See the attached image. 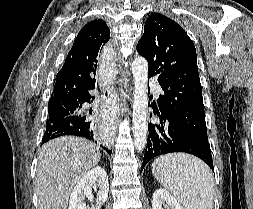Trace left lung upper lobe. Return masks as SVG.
Listing matches in <instances>:
<instances>
[{
  "label": "left lung upper lobe",
  "instance_id": "1",
  "mask_svg": "<svg viewBox=\"0 0 253 209\" xmlns=\"http://www.w3.org/2000/svg\"><path fill=\"white\" fill-rule=\"evenodd\" d=\"M136 48L148 61V76L158 77L164 91L158 99L161 114L208 140L196 49L187 33L172 19L154 13Z\"/></svg>",
  "mask_w": 253,
  "mask_h": 209
}]
</instances>
